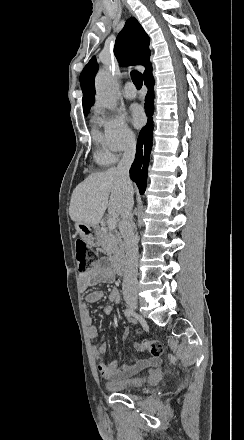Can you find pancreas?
Returning <instances> with one entry per match:
<instances>
[{
    "instance_id": "pancreas-1",
    "label": "pancreas",
    "mask_w": 244,
    "mask_h": 440,
    "mask_svg": "<svg viewBox=\"0 0 244 440\" xmlns=\"http://www.w3.org/2000/svg\"><path fill=\"white\" fill-rule=\"evenodd\" d=\"M99 244L104 252L109 256V260L113 264H117L124 256L123 244L121 236L117 230H108V232H101Z\"/></svg>"
}]
</instances>
